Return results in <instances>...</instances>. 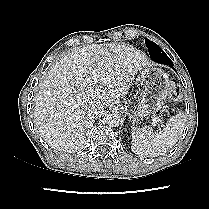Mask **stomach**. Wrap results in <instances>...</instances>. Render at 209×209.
Instances as JSON below:
<instances>
[{
    "instance_id": "stomach-1",
    "label": "stomach",
    "mask_w": 209,
    "mask_h": 209,
    "mask_svg": "<svg viewBox=\"0 0 209 209\" xmlns=\"http://www.w3.org/2000/svg\"><path fill=\"white\" fill-rule=\"evenodd\" d=\"M139 81L142 92L135 113L139 117L154 115L166 103L170 92L169 77L159 68L143 67L139 71Z\"/></svg>"
}]
</instances>
